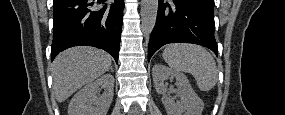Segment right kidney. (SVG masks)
<instances>
[{
    "instance_id": "1",
    "label": "right kidney",
    "mask_w": 285,
    "mask_h": 115,
    "mask_svg": "<svg viewBox=\"0 0 285 115\" xmlns=\"http://www.w3.org/2000/svg\"><path fill=\"white\" fill-rule=\"evenodd\" d=\"M104 88V93L96 96L97 89ZM114 77L105 74L84 86L71 99L68 115H106L113 100Z\"/></svg>"
}]
</instances>
